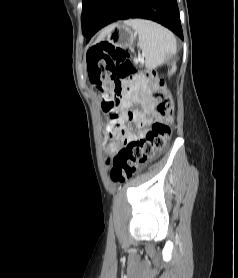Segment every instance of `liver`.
<instances>
[{"label": "liver", "mask_w": 238, "mask_h": 278, "mask_svg": "<svg viewBox=\"0 0 238 278\" xmlns=\"http://www.w3.org/2000/svg\"><path fill=\"white\" fill-rule=\"evenodd\" d=\"M105 36V30L101 33V35L98 38V41L101 40Z\"/></svg>", "instance_id": "obj_1"}]
</instances>
